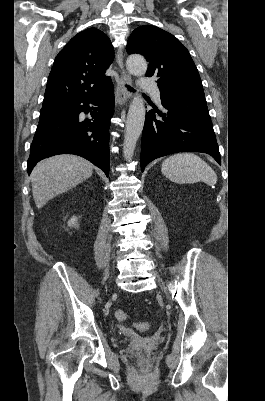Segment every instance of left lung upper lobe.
I'll list each match as a JSON object with an SVG mask.
<instances>
[{
  "instance_id": "left-lung-upper-lobe-1",
  "label": "left lung upper lobe",
  "mask_w": 265,
  "mask_h": 401,
  "mask_svg": "<svg viewBox=\"0 0 265 401\" xmlns=\"http://www.w3.org/2000/svg\"><path fill=\"white\" fill-rule=\"evenodd\" d=\"M127 52L149 62L146 76L157 77L160 92L204 96L198 70L185 46L172 34L152 25L140 26L128 39Z\"/></svg>"
}]
</instances>
